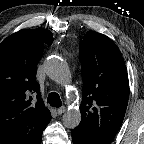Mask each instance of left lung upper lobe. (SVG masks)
<instances>
[{
	"label": "left lung upper lobe",
	"instance_id": "1",
	"mask_svg": "<svg viewBox=\"0 0 144 144\" xmlns=\"http://www.w3.org/2000/svg\"><path fill=\"white\" fill-rule=\"evenodd\" d=\"M83 91L81 122L86 136L112 142L123 122L129 82L124 59L107 36L88 31L80 45Z\"/></svg>",
	"mask_w": 144,
	"mask_h": 144
}]
</instances>
